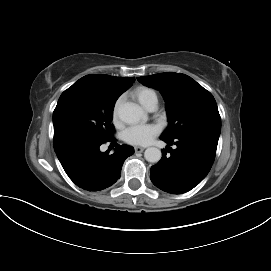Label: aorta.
<instances>
[{
    "mask_svg": "<svg viewBox=\"0 0 271 271\" xmlns=\"http://www.w3.org/2000/svg\"><path fill=\"white\" fill-rule=\"evenodd\" d=\"M117 115L120 120L127 124H136L146 118L143 109L132 102H125L118 105ZM144 157L148 162L157 163L160 161L162 153L160 149L156 147H149L145 150Z\"/></svg>",
    "mask_w": 271,
    "mask_h": 271,
    "instance_id": "aorta-1",
    "label": "aorta"
}]
</instances>
